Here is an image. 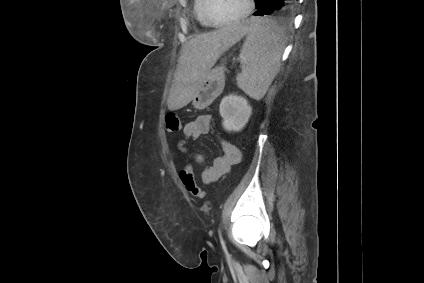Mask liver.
Returning a JSON list of instances; mask_svg holds the SVG:
<instances>
[{"instance_id":"obj_1","label":"liver","mask_w":424,"mask_h":283,"mask_svg":"<svg viewBox=\"0 0 424 283\" xmlns=\"http://www.w3.org/2000/svg\"><path fill=\"white\" fill-rule=\"evenodd\" d=\"M248 32L244 22L231 23L212 32L196 35L182 46L174 83L167 100L169 110L186 106L219 56Z\"/></svg>"}]
</instances>
